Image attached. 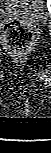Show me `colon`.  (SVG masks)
Wrapping results in <instances>:
<instances>
[{"label": "colon", "instance_id": "1", "mask_svg": "<svg viewBox=\"0 0 51 153\" xmlns=\"http://www.w3.org/2000/svg\"><path fill=\"white\" fill-rule=\"evenodd\" d=\"M3 39L9 50L16 54H24L34 43L32 29L21 21L13 20L5 24Z\"/></svg>", "mask_w": 51, "mask_h": 153}]
</instances>
